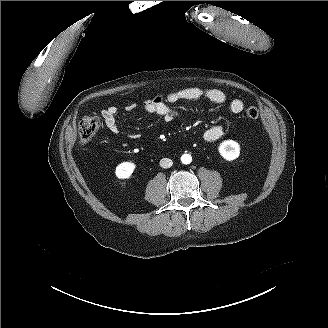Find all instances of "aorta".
<instances>
[{
    "mask_svg": "<svg viewBox=\"0 0 328 328\" xmlns=\"http://www.w3.org/2000/svg\"><path fill=\"white\" fill-rule=\"evenodd\" d=\"M181 161L183 164H190L192 162V157L189 154H183L181 156Z\"/></svg>",
    "mask_w": 328,
    "mask_h": 328,
    "instance_id": "762f6f07",
    "label": "aorta"
}]
</instances>
